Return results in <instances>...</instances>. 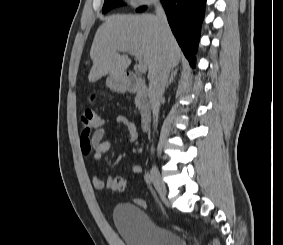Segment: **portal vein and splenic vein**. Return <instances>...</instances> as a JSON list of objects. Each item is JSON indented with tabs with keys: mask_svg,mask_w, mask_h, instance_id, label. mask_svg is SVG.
Here are the masks:
<instances>
[{
	"mask_svg": "<svg viewBox=\"0 0 283 245\" xmlns=\"http://www.w3.org/2000/svg\"><path fill=\"white\" fill-rule=\"evenodd\" d=\"M130 54L134 55L138 59V64H137L138 71L141 73H145L147 71V65L144 61H142L140 55L135 52H130Z\"/></svg>",
	"mask_w": 283,
	"mask_h": 245,
	"instance_id": "portal-vein-and-splenic-vein-1",
	"label": "portal vein and splenic vein"
}]
</instances>
